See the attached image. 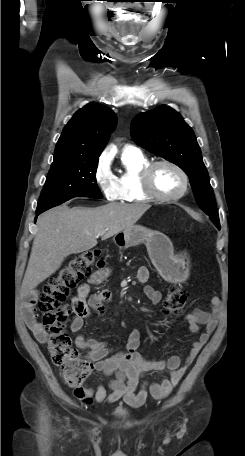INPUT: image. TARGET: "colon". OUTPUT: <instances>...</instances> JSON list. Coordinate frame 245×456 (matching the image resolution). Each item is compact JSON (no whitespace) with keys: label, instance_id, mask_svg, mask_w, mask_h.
<instances>
[{"label":"colon","instance_id":"colon-1","mask_svg":"<svg viewBox=\"0 0 245 456\" xmlns=\"http://www.w3.org/2000/svg\"><path fill=\"white\" fill-rule=\"evenodd\" d=\"M105 259L100 250L92 249L76 255L44 286L39 301L42 323L48 335V351L53 363L62 370V377L70 387H79L93 370V364L82 359L64 330L67 317L64 302L71 290L91 272L92 267H103ZM186 303V293L178 286L169 288L164 300L168 314H178Z\"/></svg>","mask_w":245,"mask_h":456}]
</instances>
